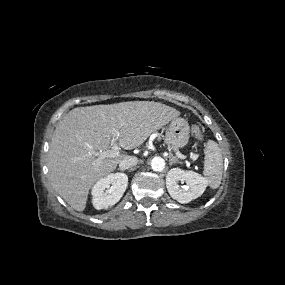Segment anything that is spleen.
Here are the masks:
<instances>
[{
	"instance_id": "obj_1",
	"label": "spleen",
	"mask_w": 285,
	"mask_h": 285,
	"mask_svg": "<svg viewBox=\"0 0 285 285\" xmlns=\"http://www.w3.org/2000/svg\"><path fill=\"white\" fill-rule=\"evenodd\" d=\"M205 160L203 174L212 189L220 186L223 173V158L219 145L209 140L204 149Z\"/></svg>"
}]
</instances>
